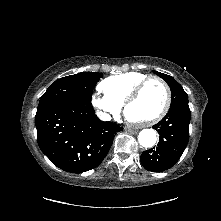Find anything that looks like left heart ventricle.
<instances>
[{"instance_id":"left-heart-ventricle-1","label":"left heart ventricle","mask_w":221,"mask_h":221,"mask_svg":"<svg viewBox=\"0 0 221 221\" xmlns=\"http://www.w3.org/2000/svg\"><path fill=\"white\" fill-rule=\"evenodd\" d=\"M165 92L156 81L149 82L139 97L130 105L128 116L135 121H144L155 116L163 107Z\"/></svg>"}]
</instances>
